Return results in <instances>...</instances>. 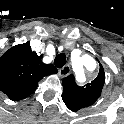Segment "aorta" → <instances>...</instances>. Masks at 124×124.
Segmentation results:
<instances>
[{
    "mask_svg": "<svg viewBox=\"0 0 124 124\" xmlns=\"http://www.w3.org/2000/svg\"><path fill=\"white\" fill-rule=\"evenodd\" d=\"M72 63H73V66L74 67L81 66L82 65V59L81 58H74L72 60ZM77 77H78V80L80 82H84L85 81V76H84V73H83V70L82 69H78V71H77Z\"/></svg>",
    "mask_w": 124,
    "mask_h": 124,
    "instance_id": "aorta-1",
    "label": "aorta"
}]
</instances>
